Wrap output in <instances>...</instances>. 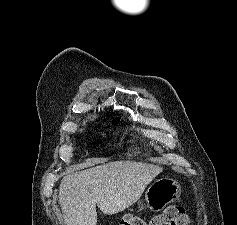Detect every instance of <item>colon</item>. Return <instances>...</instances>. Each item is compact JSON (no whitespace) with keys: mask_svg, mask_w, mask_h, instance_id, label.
Segmentation results:
<instances>
[{"mask_svg":"<svg viewBox=\"0 0 237 225\" xmlns=\"http://www.w3.org/2000/svg\"><path fill=\"white\" fill-rule=\"evenodd\" d=\"M191 219L181 206H171L161 214L149 220H144L137 215H127L119 225H190Z\"/></svg>","mask_w":237,"mask_h":225,"instance_id":"obj_1","label":"colon"}]
</instances>
